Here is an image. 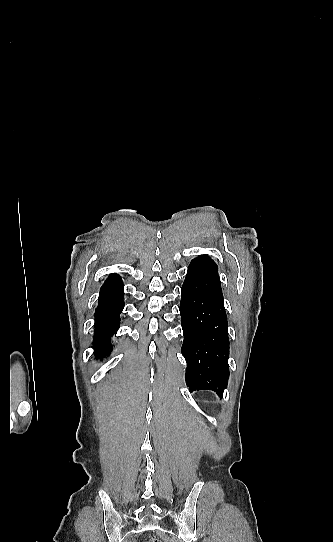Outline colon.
Instances as JSON below:
<instances>
[{"label":"colon","mask_w":333,"mask_h":542,"mask_svg":"<svg viewBox=\"0 0 333 542\" xmlns=\"http://www.w3.org/2000/svg\"><path fill=\"white\" fill-rule=\"evenodd\" d=\"M142 542H163L162 536H143Z\"/></svg>","instance_id":"1"}]
</instances>
